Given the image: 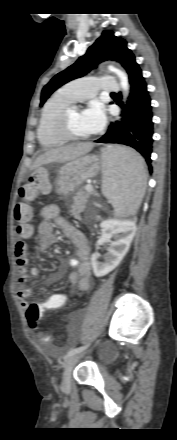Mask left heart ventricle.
<instances>
[{
	"label": "left heart ventricle",
	"instance_id": "left-heart-ventricle-1",
	"mask_svg": "<svg viewBox=\"0 0 177 440\" xmlns=\"http://www.w3.org/2000/svg\"><path fill=\"white\" fill-rule=\"evenodd\" d=\"M69 130L73 135L76 136H87L82 119L81 112L77 108H73L69 114Z\"/></svg>",
	"mask_w": 177,
	"mask_h": 440
}]
</instances>
